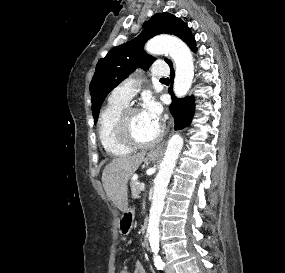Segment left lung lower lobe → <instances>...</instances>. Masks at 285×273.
<instances>
[{
    "instance_id": "0a47b994",
    "label": "left lung lower lobe",
    "mask_w": 285,
    "mask_h": 273,
    "mask_svg": "<svg viewBox=\"0 0 285 273\" xmlns=\"http://www.w3.org/2000/svg\"><path fill=\"white\" fill-rule=\"evenodd\" d=\"M186 44L191 48L192 51H196V43L194 37L191 35L186 41ZM171 67V81H173V65L169 64ZM173 95L172 91H169ZM172 104L169 109L173 113L175 121V129L180 130L188 126L191 123L193 114H194V99L186 97L183 99L176 98L172 96Z\"/></svg>"
}]
</instances>
